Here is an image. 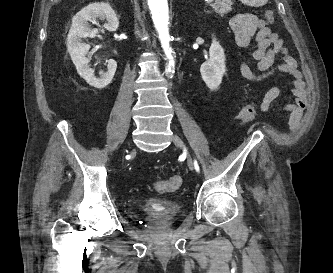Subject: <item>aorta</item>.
Returning a JSON list of instances; mask_svg holds the SVG:
<instances>
[{"mask_svg": "<svg viewBox=\"0 0 333 273\" xmlns=\"http://www.w3.org/2000/svg\"><path fill=\"white\" fill-rule=\"evenodd\" d=\"M149 9L151 11L152 20L162 45V48L169 59L168 70L174 67V59L172 57V50L170 47L169 35V8L167 0H147Z\"/></svg>", "mask_w": 333, "mask_h": 273, "instance_id": "1", "label": "aorta"}]
</instances>
